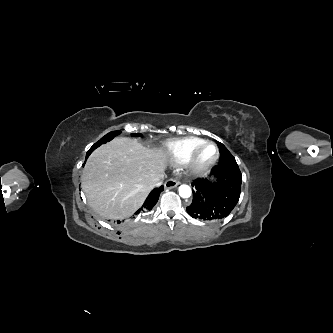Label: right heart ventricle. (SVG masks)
<instances>
[{
	"mask_svg": "<svg viewBox=\"0 0 333 333\" xmlns=\"http://www.w3.org/2000/svg\"><path fill=\"white\" fill-rule=\"evenodd\" d=\"M206 140L198 137H186L182 139L165 142L160 152L166 156L173 164H185L191 154Z\"/></svg>",
	"mask_w": 333,
	"mask_h": 333,
	"instance_id": "1",
	"label": "right heart ventricle"
}]
</instances>
